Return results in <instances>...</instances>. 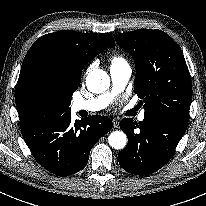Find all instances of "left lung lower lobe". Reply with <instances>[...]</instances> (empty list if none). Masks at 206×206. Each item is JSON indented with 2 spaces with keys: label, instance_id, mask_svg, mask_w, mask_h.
Listing matches in <instances>:
<instances>
[{
  "label": "left lung lower lobe",
  "instance_id": "1",
  "mask_svg": "<svg viewBox=\"0 0 206 206\" xmlns=\"http://www.w3.org/2000/svg\"><path fill=\"white\" fill-rule=\"evenodd\" d=\"M188 121L164 115H145L139 123L123 118L120 128L127 134V146L118 154L121 167L136 175L151 174L172 157Z\"/></svg>",
  "mask_w": 206,
  "mask_h": 206
}]
</instances>
